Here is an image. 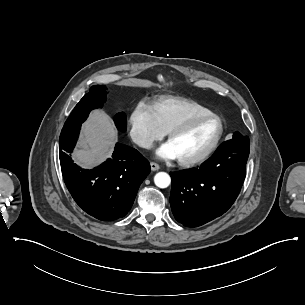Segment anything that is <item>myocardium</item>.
Instances as JSON below:
<instances>
[{
	"label": "myocardium",
	"mask_w": 305,
	"mask_h": 305,
	"mask_svg": "<svg viewBox=\"0 0 305 305\" xmlns=\"http://www.w3.org/2000/svg\"><path fill=\"white\" fill-rule=\"evenodd\" d=\"M211 118H217L221 123V130H220V133H219L217 139L208 149H206L203 153L199 154L198 156H195L192 158H178V162L182 166L191 167V166L200 164V163L206 161L207 159H209L218 150V148L221 146V144L223 143V141L226 137V134H227L226 122L221 115H219L218 113H215L213 111H210L206 114L187 118V119L181 121L180 123H178L177 125H175L174 127H172L168 131V141L170 142L172 140V138H174L176 135L184 132L191 125L206 121Z\"/></svg>",
	"instance_id": "myocardium-1"
}]
</instances>
